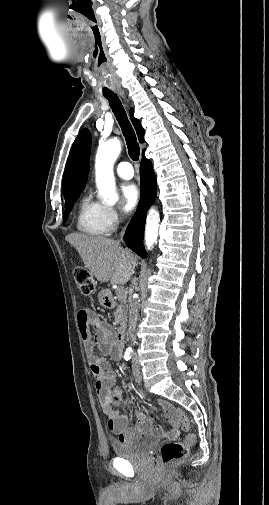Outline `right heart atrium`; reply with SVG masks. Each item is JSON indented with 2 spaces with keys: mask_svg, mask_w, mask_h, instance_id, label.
I'll return each instance as SVG.
<instances>
[{
  "mask_svg": "<svg viewBox=\"0 0 269 505\" xmlns=\"http://www.w3.org/2000/svg\"><path fill=\"white\" fill-rule=\"evenodd\" d=\"M108 230H114L122 219V215L114 207L106 206L104 210Z\"/></svg>",
  "mask_w": 269,
  "mask_h": 505,
  "instance_id": "obj_1",
  "label": "right heart atrium"
}]
</instances>
